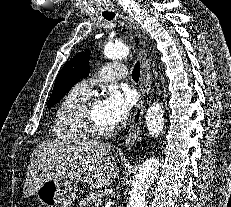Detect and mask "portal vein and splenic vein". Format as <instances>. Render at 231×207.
<instances>
[{
    "instance_id": "portal-vein-and-splenic-vein-1",
    "label": "portal vein and splenic vein",
    "mask_w": 231,
    "mask_h": 207,
    "mask_svg": "<svg viewBox=\"0 0 231 207\" xmlns=\"http://www.w3.org/2000/svg\"><path fill=\"white\" fill-rule=\"evenodd\" d=\"M95 206H96V207H99V206H101V204H99V203H96V204H95Z\"/></svg>"
}]
</instances>
